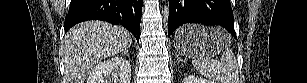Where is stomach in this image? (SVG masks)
I'll return each mask as SVG.
<instances>
[{"label":"stomach","instance_id":"0dacf381","mask_svg":"<svg viewBox=\"0 0 307 83\" xmlns=\"http://www.w3.org/2000/svg\"><path fill=\"white\" fill-rule=\"evenodd\" d=\"M231 43L230 35L219 28L185 25L174 36L177 51L186 57H212Z\"/></svg>","mask_w":307,"mask_h":83}]
</instances>
